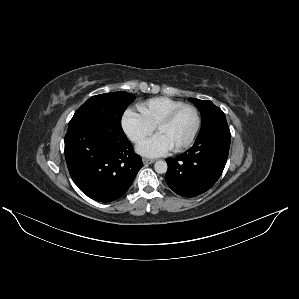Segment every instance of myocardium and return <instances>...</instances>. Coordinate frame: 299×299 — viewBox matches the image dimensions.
I'll use <instances>...</instances> for the list:
<instances>
[{"instance_id": "1", "label": "myocardium", "mask_w": 299, "mask_h": 299, "mask_svg": "<svg viewBox=\"0 0 299 299\" xmlns=\"http://www.w3.org/2000/svg\"><path fill=\"white\" fill-rule=\"evenodd\" d=\"M184 109H191L195 113L196 125H195V128H194L191 136L184 143H182L181 145L173 148L174 151H177V152L188 148L194 142V140H195V138H196V136H197V134L200 130V127H201V114H200L198 108L194 105H191V104H184V105L172 110L170 113H168L164 118H162L157 123V125L155 127L156 131L158 132L159 128L170 124L175 119V117Z\"/></svg>"}]
</instances>
